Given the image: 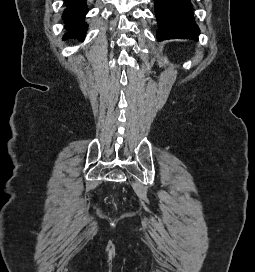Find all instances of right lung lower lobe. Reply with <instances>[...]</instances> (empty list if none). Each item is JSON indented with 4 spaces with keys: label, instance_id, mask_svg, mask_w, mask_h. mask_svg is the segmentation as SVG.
Listing matches in <instances>:
<instances>
[{
    "label": "right lung lower lobe",
    "instance_id": "98d812e1",
    "mask_svg": "<svg viewBox=\"0 0 255 272\" xmlns=\"http://www.w3.org/2000/svg\"><path fill=\"white\" fill-rule=\"evenodd\" d=\"M66 9L63 13L65 28L68 30L65 38H77L83 40L87 30L84 22L87 13L86 0H64Z\"/></svg>",
    "mask_w": 255,
    "mask_h": 272
}]
</instances>
